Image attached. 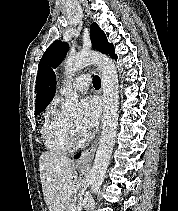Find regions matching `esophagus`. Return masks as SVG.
Instances as JSON below:
<instances>
[{
	"label": "esophagus",
	"mask_w": 178,
	"mask_h": 211,
	"mask_svg": "<svg viewBox=\"0 0 178 211\" xmlns=\"http://www.w3.org/2000/svg\"><path fill=\"white\" fill-rule=\"evenodd\" d=\"M101 127L97 132V135L94 139V141L92 142V144L83 151V153L81 154V156L78 158L77 160V167L79 168H88L90 166L91 160L93 158L94 152L97 148V143H98V137H99V133H100Z\"/></svg>",
	"instance_id": "esophagus-1"
}]
</instances>
